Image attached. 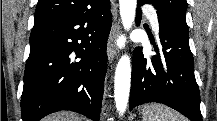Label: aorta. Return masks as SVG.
Segmentation results:
<instances>
[{
	"label": "aorta",
	"instance_id": "762f6f07",
	"mask_svg": "<svg viewBox=\"0 0 217 121\" xmlns=\"http://www.w3.org/2000/svg\"><path fill=\"white\" fill-rule=\"evenodd\" d=\"M137 0H119L121 20L125 30H129L135 19ZM131 85L130 57L124 55L119 60L114 81V98L116 108L122 116L126 111Z\"/></svg>",
	"mask_w": 217,
	"mask_h": 121
}]
</instances>
